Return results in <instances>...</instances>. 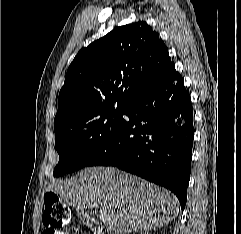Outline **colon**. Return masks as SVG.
Here are the masks:
<instances>
[{
	"mask_svg": "<svg viewBox=\"0 0 241 234\" xmlns=\"http://www.w3.org/2000/svg\"><path fill=\"white\" fill-rule=\"evenodd\" d=\"M71 213L67 205L60 198L48 193L45 196V210L42 217L43 224L48 230H54L69 223Z\"/></svg>",
	"mask_w": 241,
	"mask_h": 234,
	"instance_id": "1",
	"label": "colon"
}]
</instances>
